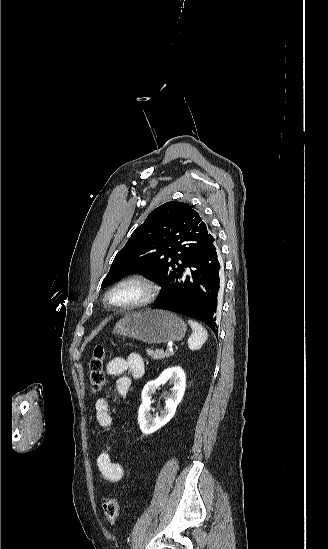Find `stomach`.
I'll use <instances>...</instances> for the list:
<instances>
[{"instance_id":"obj_1","label":"stomach","mask_w":328,"mask_h":549,"mask_svg":"<svg viewBox=\"0 0 328 549\" xmlns=\"http://www.w3.org/2000/svg\"><path fill=\"white\" fill-rule=\"evenodd\" d=\"M186 329L184 321L171 311L141 309L137 313H130L120 319L116 323L113 333L152 345V343L182 341Z\"/></svg>"}]
</instances>
